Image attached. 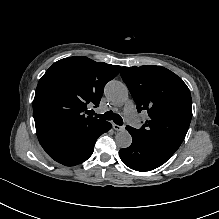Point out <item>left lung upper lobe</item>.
Masks as SVG:
<instances>
[{"mask_svg": "<svg viewBox=\"0 0 219 219\" xmlns=\"http://www.w3.org/2000/svg\"><path fill=\"white\" fill-rule=\"evenodd\" d=\"M121 77L127 85L137 111H147L149 120L132 132L169 155L183 142L192 117V98L186 84L161 66L123 67Z\"/></svg>", "mask_w": 219, "mask_h": 219, "instance_id": "left-lung-upper-lobe-1", "label": "left lung upper lobe"}]
</instances>
